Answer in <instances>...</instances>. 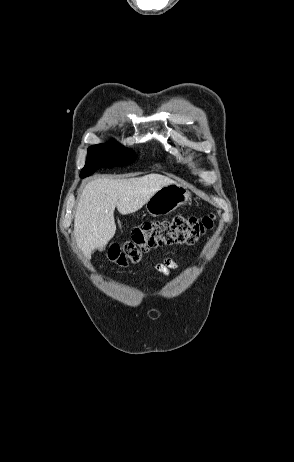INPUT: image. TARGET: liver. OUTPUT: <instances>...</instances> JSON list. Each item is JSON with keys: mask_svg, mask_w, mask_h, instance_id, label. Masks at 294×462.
Wrapping results in <instances>:
<instances>
[{"mask_svg": "<svg viewBox=\"0 0 294 462\" xmlns=\"http://www.w3.org/2000/svg\"><path fill=\"white\" fill-rule=\"evenodd\" d=\"M176 184L169 177L149 174L130 179L97 178L86 184L77 205L74 235L85 256L103 250L116 232L114 210L122 215L140 210L160 188Z\"/></svg>", "mask_w": 294, "mask_h": 462, "instance_id": "obj_1", "label": "liver"}]
</instances>
